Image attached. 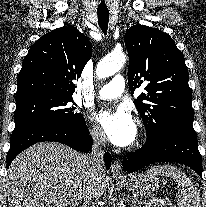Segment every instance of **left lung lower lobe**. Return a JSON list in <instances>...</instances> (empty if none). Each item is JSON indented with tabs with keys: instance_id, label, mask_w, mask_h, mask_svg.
Segmentation results:
<instances>
[{
	"instance_id": "obj_1",
	"label": "left lung lower lobe",
	"mask_w": 206,
	"mask_h": 207,
	"mask_svg": "<svg viewBox=\"0 0 206 207\" xmlns=\"http://www.w3.org/2000/svg\"><path fill=\"white\" fill-rule=\"evenodd\" d=\"M164 161L187 165L202 176V158L192 124L172 125L153 140H147L142 148L126 155L123 170L131 173L149 164Z\"/></svg>"
}]
</instances>
